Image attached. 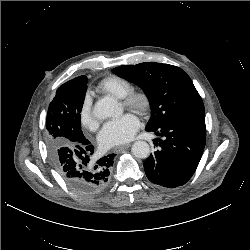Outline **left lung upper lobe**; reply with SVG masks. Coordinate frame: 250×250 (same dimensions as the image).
<instances>
[{"label":"left lung upper lobe","instance_id":"1","mask_svg":"<svg viewBox=\"0 0 250 250\" xmlns=\"http://www.w3.org/2000/svg\"><path fill=\"white\" fill-rule=\"evenodd\" d=\"M116 75L140 86L151 106L146 129L189 119L205 118L202 99L192 80L181 68L156 62L123 65Z\"/></svg>","mask_w":250,"mask_h":250}]
</instances>
